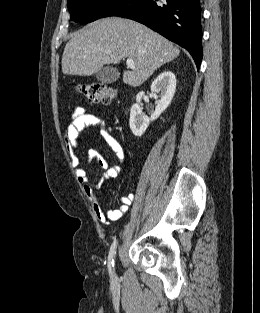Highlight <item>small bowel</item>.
Wrapping results in <instances>:
<instances>
[{"mask_svg": "<svg viewBox=\"0 0 260 313\" xmlns=\"http://www.w3.org/2000/svg\"><path fill=\"white\" fill-rule=\"evenodd\" d=\"M88 127H98L100 129L101 136L115 153L118 161L120 162V164L109 165L106 160L100 157L96 152H89V158H96L100 161V165L104 169V180L115 179L120 176L122 172V163L125 161V150L122 143L107 130L105 121L102 118L88 113L83 107L75 108L71 112L70 121L63 133V140L68 150L71 164L85 195L92 205L95 216L101 223L110 224L112 221L121 218L128 211L135 195L133 193H129L121 197V204L116 209L104 210L102 208L96 194V189L100 187V184L92 186L89 183L86 170L81 165V161L77 153L78 136L85 128Z\"/></svg>", "mask_w": 260, "mask_h": 313, "instance_id": "1", "label": "small bowel"}]
</instances>
